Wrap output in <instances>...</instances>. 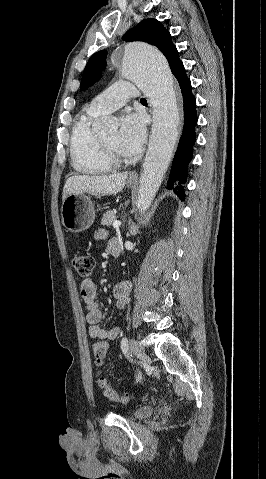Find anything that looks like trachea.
<instances>
[{"instance_id":"obj_1","label":"trachea","mask_w":266,"mask_h":479,"mask_svg":"<svg viewBox=\"0 0 266 479\" xmlns=\"http://www.w3.org/2000/svg\"><path fill=\"white\" fill-rule=\"evenodd\" d=\"M140 101H141V102H146V99H145V98H141Z\"/></svg>"}]
</instances>
